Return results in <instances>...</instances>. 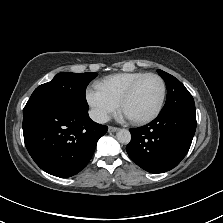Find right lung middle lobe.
<instances>
[{
	"instance_id": "obj_1",
	"label": "right lung middle lobe",
	"mask_w": 223,
	"mask_h": 223,
	"mask_svg": "<svg viewBox=\"0 0 223 223\" xmlns=\"http://www.w3.org/2000/svg\"><path fill=\"white\" fill-rule=\"evenodd\" d=\"M97 76L95 72L58 73L50 82L38 86L23 113L42 108L68 107L88 111L86 87Z\"/></svg>"
}]
</instances>
